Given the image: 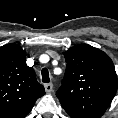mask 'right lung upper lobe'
<instances>
[{
  "label": "right lung upper lobe",
  "instance_id": "obj_1",
  "mask_svg": "<svg viewBox=\"0 0 118 118\" xmlns=\"http://www.w3.org/2000/svg\"><path fill=\"white\" fill-rule=\"evenodd\" d=\"M45 94L17 44L0 47V118H24Z\"/></svg>",
  "mask_w": 118,
  "mask_h": 118
}]
</instances>
